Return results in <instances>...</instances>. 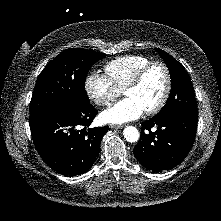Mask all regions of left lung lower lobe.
<instances>
[{
  "label": "left lung lower lobe",
  "instance_id": "0a47b994",
  "mask_svg": "<svg viewBox=\"0 0 221 221\" xmlns=\"http://www.w3.org/2000/svg\"><path fill=\"white\" fill-rule=\"evenodd\" d=\"M197 123L198 115L182 112L155 115L142 123L141 138L133 149L134 156L149 171L174 168L190 152Z\"/></svg>",
  "mask_w": 221,
  "mask_h": 221
}]
</instances>
